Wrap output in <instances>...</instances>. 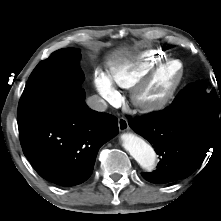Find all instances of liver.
I'll return each mask as SVG.
<instances>
[{"label":"liver","mask_w":221,"mask_h":221,"mask_svg":"<svg viewBox=\"0 0 221 221\" xmlns=\"http://www.w3.org/2000/svg\"><path fill=\"white\" fill-rule=\"evenodd\" d=\"M122 54V52L121 51H118V52H116L115 54H114V57H118V56H120Z\"/></svg>","instance_id":"obj_1"}]
</instances>
